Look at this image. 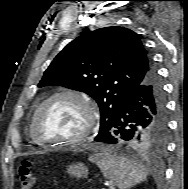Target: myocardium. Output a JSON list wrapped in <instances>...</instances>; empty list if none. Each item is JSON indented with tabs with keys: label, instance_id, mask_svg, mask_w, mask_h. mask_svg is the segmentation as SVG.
<instances>
[{
	"label": "myocardium",
	"instance_id": "1",
	"mask_svg": "<svg viewBox=\"0 0 188 189\" xmlns=\"http://www.w3.org/2000/svg\"><path fill=\"white\" fill-rule=\"evenodd\" d=\"M59 98H73L78 102H80L87 113L86 125L84 129L81 131V133L73 138L64 139V140H53V141L43 140L39 137L38 134V124L40 118L44 113L45 109L49 106V104ZM98 123H99V115L97 108L93 103V101L86 94L73 90H62L49 96L37 108L31 124V134L33 140L37 144L42 146H48V147L70 146V145L78 144L84 141L85 139H87L89 136H91L94 133V131L97 129Z\"/></svg>",
	"mask_w": 188,
	"mask_h": 189
}]
</instances>
